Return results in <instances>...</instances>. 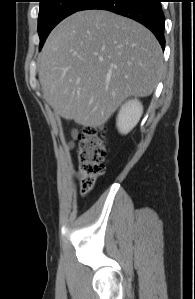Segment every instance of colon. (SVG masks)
<instances>
[{
  "mask_svg": "<svg viewBox=\"0 0 195 299\" xmlns=\"http://www.w3.org/2000/svg\"><path fill=\"white\" fill-rule=\"evenodd\" d=\"M77 175L81 192H89L105 172L107 145L95 127H87L77 138Z\"/></svg>",
  "mask_w": 195,
  "mask_h": 299,
  "instance_id": "obj_1",
  "label": "colon"
}]
</instances>
